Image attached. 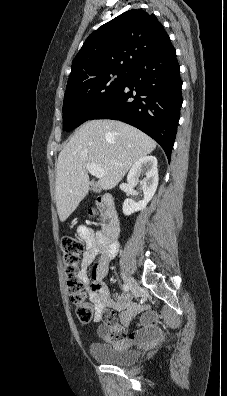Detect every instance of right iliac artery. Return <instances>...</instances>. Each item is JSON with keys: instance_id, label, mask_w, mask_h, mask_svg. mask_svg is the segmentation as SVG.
Listing matches in <instances>:
<instances>
[{"instance_id": "obj_1", "label": "right iliac artery", "mask_w": 227, "mask_h": 396, "mask_svg": "<svg viewBox=\"0 0 227 396\" xmlns=\"http://www.w3.org/2000/svg\"><path fill=\"white\" fill-rule=\"evenodd\" d=\"M123 290H124L125 292H128V291L130 290L129 285H128V284H123Z\"/></svg>"}]
</instances>
